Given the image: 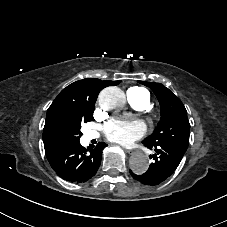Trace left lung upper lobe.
I'll return each mask as SVG.
<instances>
[{
    "instance_id": "1",
    "label": "left lung upper lobe",
    "mask_w": 227,
    "mask_h": 227,
    "mask_svg": "<svg viewBox=\"0 0 227 227\" xmlns=\"http://www.w3.org/2000/svg\"><path fill=\"white\" fill-rule=\"evenodd\" d=\"M151 88L161 107V120L154 132L144 139V145L167 144L186 152L189 144L190 123L187 111L178 97L160 83L138 81Z\"/></svg>"
}]
</instances>
